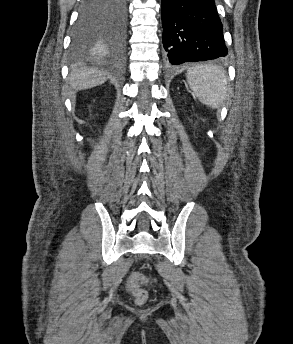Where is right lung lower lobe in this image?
Segmentation results:
<instances>
[{
  "instance_id": "right-lung-lower-lobe-1",
  "label": "right lung lower lobe",
  "mask_w": 293,
  "mask_h": 344,
  "mask_svg": "<svg viewBox=\"0 0 293 344\" xmlns=\"http://www.w3.org/2000/svg\"><path fill=\"white\" fill-rule=\"evenodd\" d=\"M104 0H83L85 7L98 6ZM122 20L115 27L109 28V33L112 36V46L115 48H121L124 44V37L126 31V0H122Z\"/></svg>"
}]
</instances>
